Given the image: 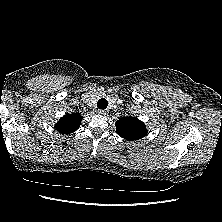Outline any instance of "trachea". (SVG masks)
I'll use <instances>...</instances> for the list:
<instances>
[{"label": "trachea", "instance_id": "1", "mask_svg": "<svg viewBox=\"0 0 222 222\" xmlns=\"http://www.w3.org/2000/svg\"><path fill=\"white\" fill-rule=\"evenodd\" d=\"M107 105H108V101L105 98H100L98 100L97 107L99 109L104 110L107 108Z\"/></svg>", "mask_w": 222, "mask_h": 222}]
</instances>
